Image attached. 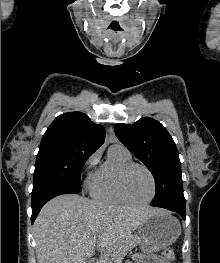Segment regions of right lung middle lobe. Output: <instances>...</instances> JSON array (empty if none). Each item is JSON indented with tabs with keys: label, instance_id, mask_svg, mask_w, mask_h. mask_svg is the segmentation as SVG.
I'll return each instance as SVG.
<instances>
[{
	"label": "right lung middle lobe",
	"instance_id": "obj_1",
	"mask_svg": "<svg viewBox=\"0 0 220 263\" xmlns=\"http://www.w3.org/2000/svg\"><path fill=\"white\" fill-rule=\"evenodd\" d=\"M93 152L49 149L38 152L33 189L46 184L81 187V170Z\"/></svg>",
	"mask_w": 220,
	"mask_h": 263
}]
</instances>
